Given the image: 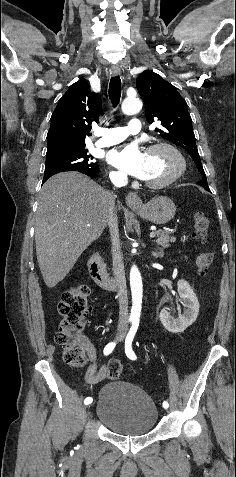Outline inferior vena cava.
I'll use <instances>...</instances> for the list:
<instances>
[{
	"label": "inferior vena cava",
	"instance_id": "1",
	"mask_svg": "<svg viewBox=\"0 0 236 477\" xmlns=\"http://www.w3.org/2000/svg\"><path fill=\"white\" fill-rule=\"evenodd\" d=\"M113 183L116 187L124 186L127 183L126 176H118L113 179ZM115 195H112L110 208L106 216V225L110 227L111 242H112V264L113 273L118 287L117 299L119 302V324L126 325L128 320V297L125 272L121 261L120 249H119V231L117 216L115 214Z\"/></svg>",
	"mask_w": 236,
	"mask_h": 477
}]
</instances>
